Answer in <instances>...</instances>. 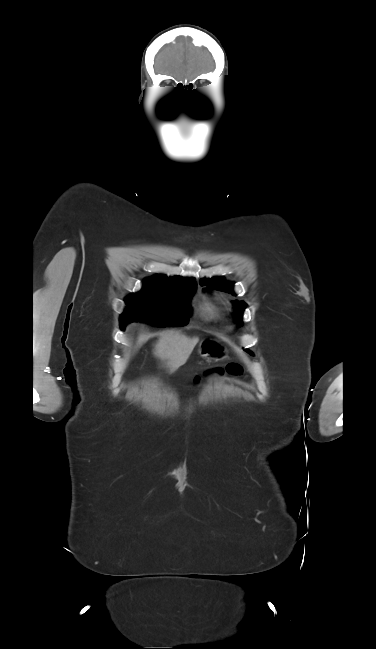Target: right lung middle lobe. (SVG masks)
I'll return each mask as SVG.
<instances>
[{
  "mask_svg": "<svg viewBox=\"0 0 376 649\" xmlns=\"http://www.w3.org/2000/svg\"><path fill=\"white\" fill-rule=\"evenodd\" d=\"M196 288L193 278H150L140 292L126 299L121 315L123 330L129 322L142 321L155 326H184L188 323L190 298Z\"/></svg>",
  "mask_w": 376,
  "mask_h": 649,
  "instance_id": "1",
  "label": "right lung middle lobe"
}]
</instances>
